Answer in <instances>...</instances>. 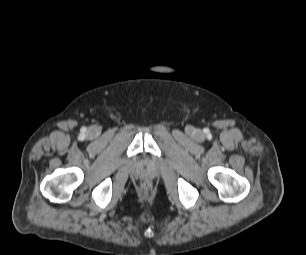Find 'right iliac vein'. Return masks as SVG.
Listing matches in <instances>:
<instances>
[{
	"mask_svg": "<svg viewBox=\"0 0 306 255\" xmlns=\"http://www.w3.org/2000/svg\"><path fill=\"white\" fill-rule=\"evenodd\" d=\"M88 134L91 137H96L100 134V129L97 126H92V127H90V129L88 131Z\"/></svg>",
	"mask_w": 306,
	"mask_h": 255,
	"instance_id": "1",
	"label": "right iliac vein"
}]
</instances>
